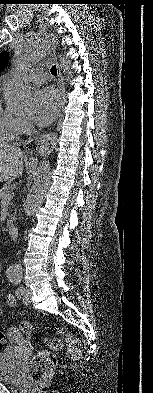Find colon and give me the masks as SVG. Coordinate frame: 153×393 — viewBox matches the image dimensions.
<instances>
[{
	"instance_id": "1",
	"label": "colon",
	"mask_w": 153,
	"mask_h": 393,
	"mask_svg": "<svg viewBox=\"0 0 153 393\" xmlns=\"http://www.w3.org/2000/svg\"><path fill=\"white\" fill-rule=\"evenodd\" d=\"M20 327L25 335H29L32 331V327L29 322L23 321ZM15 332L16 331L11 330V333ZM5 342V336L0 333V350L4 348ZM46 342L53 352H59L64 349L67 357L71 360H77L81 356V344L72 336L67 335L64 343L54 338L48 339ZM56 364L57 358L54 354L48 351L38 352L31 362L28 378L35 384L40 385L47 379Z\"/></svg>"
}]
</instances>
